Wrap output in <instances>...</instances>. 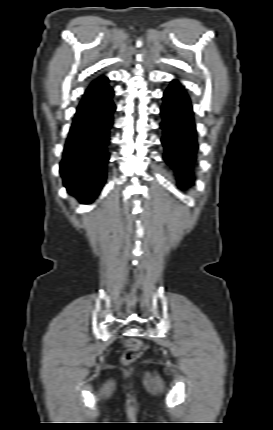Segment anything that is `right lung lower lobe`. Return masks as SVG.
<instances>
[{
  "mask_svg": "<svg viewBox=\"0 0 273 430\" xmlns=\"http://www.w3.org/2000/svg\"><path fill=\"white\" fill-rule=\"evenodd\" d=\"M100 77L86 90L77 107L60 173L67 191L82 203H92L107 176L110 129L115 105L113 89Z\"/></svg>",
  "mask_w": 273,
  "mask_h": 430,
  "instance_id": "98d812e1",
  "label": "right lung lower lobe"
}]
</instances>
